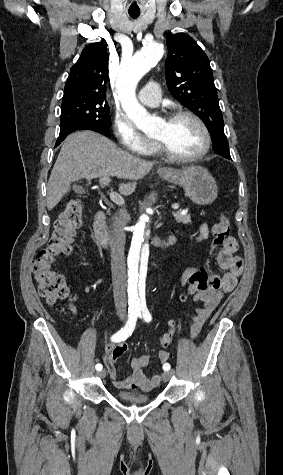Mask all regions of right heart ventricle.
<instances>
[{
  "instance_id": "right-heart-ventricle-1",
  "label": "right heart ventricle",
  "mask_w": 283,
  "mask_h": 475,
  "mask_svg": "<svg viewBox=\"0 0 283 475\" xmlns=\"http://www.w3.org/2000/svg\"><path fill=\"white\" fill-rule=\"evenodd\" d=\"M152 152H153V153H157V152H158V151H157V148L153 146Z\"/></svg>"
}]
</instances>
